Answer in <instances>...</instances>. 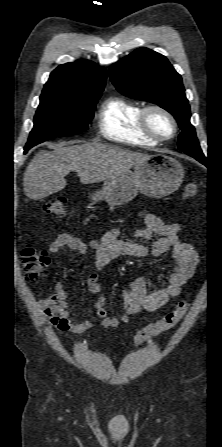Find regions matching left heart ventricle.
<instances>
[{
    "mask_svg": "<svg viewBox=\"0 0 222 447\" xmlns=\"http://www.w3.org/2000/svg\"><path fill=\"white\" fill-rule=\"evenodd\" d=\"M149 124L153 131L162 136H168L172 132L170 121L158 112H152L149 115Z\"/></svg>",
    "mask_w": 222,
    "mask_h": 447,
    "instance_id": "b2bd125f",
    "label": "left heart ventricle"
}]
</instances>
